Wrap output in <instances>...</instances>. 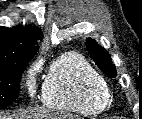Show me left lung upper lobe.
Masks as SVG:
<instances>
[{
    "instance_id": "obj_1",
    "label": "left lung upper lobe",
    "mask_w": 142,
    "mask_h": 119,
    "mask_svg": "<svg viewBox=\"0 0 142 119\" xmlns=\"http://www.w3.org/2000/svg\"><path fill=\"white\" fill-rule=\"evenodd\" d=\"M86 47L97 66L108 76L115 78L117 75L116 68L108 52L91 38L87 39Z\"/></svg>"
}]
</instances>
